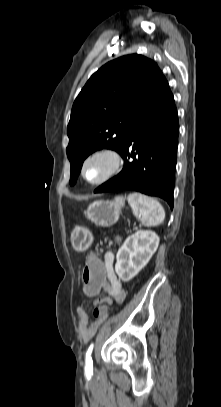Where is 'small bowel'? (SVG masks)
<instances>
[{
    "instance_id": "small-bowel-1",
    "label": "small bowel",
    "mask_w": 221,
    "mask_h": 407,
    "mask_svg": "<svg viewBox=\"0 0 221 407\" xmlns=\"http://www.w3.org/2000/svg\"><path fill=\"white\" fill-rule=\"evenodd\" d=\"M104 264L106 265L107 269V280L108 283L104 286V293H106L107 297L104 299L102 297H95L94 298V307L103 305H111L113 301L118 303L123 302L125 298V293L122 287V283L118 278L115 270H114V254L111 251H108L104 255ZM88 292H84L86 295ZM98 295L100 292H93ZM77 326L79 333L84 341H88L96 332L100 324L105 318H98L95 314L94 317H91L87 311L83 308L77 309Z\"/></svg>"
}]
</instances>
